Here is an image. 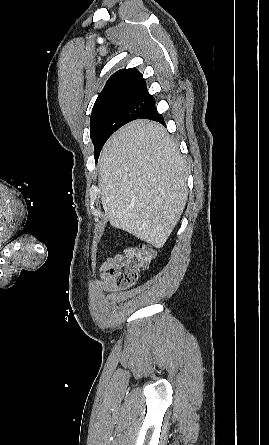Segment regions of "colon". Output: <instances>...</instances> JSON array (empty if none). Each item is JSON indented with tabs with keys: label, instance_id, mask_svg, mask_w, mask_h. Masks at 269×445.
Listing matches in <instances>:
<instances>
[{
	"label": "colon",
	"instance_id": "5ec220e1",
	"mask_svg": "<svg viewBox=\"0 0 269 445\" xmlns=\"http://www.w3.org/2000/svg\"><path fill=\"white\" fill-rule=\"evenodd\" d=\"M155 255V249L147 243L126 248L112 270L115 285L121 288L132 286L138 278L139 270L146 267Z\"/></svg>",
	"mask_w": 269,
	"mask_h": 445
}]
</instances>
